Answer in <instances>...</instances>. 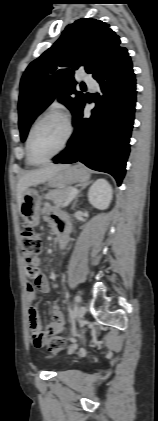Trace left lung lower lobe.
Returning <instances> with one entry per match:
<instances>
[{
	"label": "left lung lower lobe",
	"instance_id": "left-lung-lower-lobe-1",
	"mask_svg": "<svg viewBox=\"0 0 158 421\" xmlns=\"http://www.w3.org/2000/svg\"><path fill=\"white\" fill-rule=\"evenodd\" d=\"M94 79L99 89L94 94L96 106L91 117L83 116V106L73 119L75 132L67 148L53 160L80 161L93 170L111 174L120 186L130 152L136 103L135 74L126 48L120 47Z\"/></svg>",
	"mask_w": 158,
	"mask_h": 421
}]
</instances>
